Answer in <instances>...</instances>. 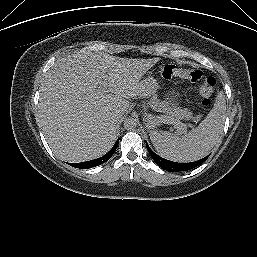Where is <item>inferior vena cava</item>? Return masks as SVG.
Masks as SVG:
<instances>
[{
  "label": "inferior vena cava",
  "mask_w": 257,
  "mask_h": 257,
  "mask_svg": "<svg viewBox=\"0 0 257 257\" xmlns=\"http://www.w3.org/2000/svg\"><path fill=\"white\" fill-rule=\"evenodd\" d=\"M112 119L115 121V122H118L121 120V116L119 114H113L112 115Z\"/></svg>",
  "instance_id": "obj_1"
}]
</instances>
